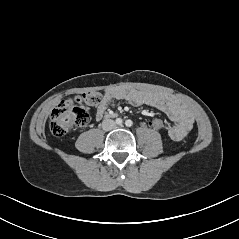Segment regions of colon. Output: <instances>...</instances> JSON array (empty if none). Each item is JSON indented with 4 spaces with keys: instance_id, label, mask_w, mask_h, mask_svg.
I'll use <instances>...</instances> for the list:
<instances>
[{
    "instance_id": "1",
    "label": "colon",
    "mask_w": 239,
    "mask_h": 239,
    "mask_svg": "<svg viewBox=\"0 0 239 239\" xmlns=\"http://www.w3.org/2000/svg\"><path fill=\"white\" fill-rule=\"evenodd\" d=\"M102 98L99 92H88L75 98L62 100L52 110L49 124L51 133L62 137L74 128L85 126L89 122L90 109L98 106ZM147 125L160 134L168 131L166 122L157 115H150L147 118Z\"/></svg>"
}]
</instances>
